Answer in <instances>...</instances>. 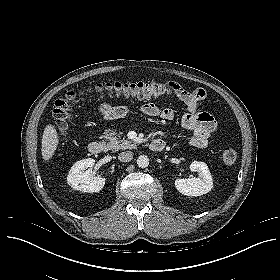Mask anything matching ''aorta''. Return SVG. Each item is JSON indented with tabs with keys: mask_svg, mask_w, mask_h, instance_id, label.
<instances>
[{
	"mask_svg": "<svg viewBox=\"0 0 280 280\" xmlns=\"http://www.w3.org/2000/svg\"><path fill=\"white\" fill-rule=\"evenodd\" d=\"M137 165L140 168H146L149 165V158L146 155H141L137 159Z\"/></svg>",
	"mask_w": 280,
	"mask_h": 280,
	"instance_id": "1",
	"label": "aorta"
}]
</instances>
